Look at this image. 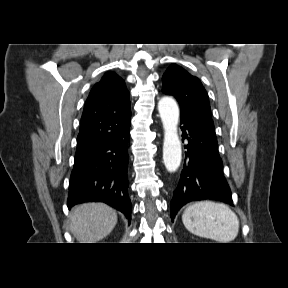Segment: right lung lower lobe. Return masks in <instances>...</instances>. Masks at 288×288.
<instances>
[{
    "instance_id": "obj_1",
    "label": "right lung lower lobe",
    "mask_w": 288,
    "mask_h": 288,
    "mask_svg": "<svg viewBox=\"0 0 288 288\" xmlns=\"http://www.w3.org/2000/svg\"><path fill=\"white\" fill-rule=\"evenodd\" d=\"M130 125L113 137L75 154L67 206L100 201L131 219L128 195V141Z\"/></svg>"
}]
</instances>
